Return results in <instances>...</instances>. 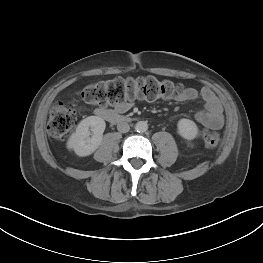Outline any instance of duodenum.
I'll list each match as a JSON object with an SVG mask.
<instances>
[{"instance_id":"410a0bca","label":"duodenum","mask_w":263,"mask_h":263,"mask_svg":"<svg viewBox=\"0 0 263 263\" xmlns=\"http://www.w3.org/2000/svg\"><path fill=\"white\" fill-rule=\"evenodd\" d=\"M99 115L113 123H123L129 120V118L110 110H102Z\"/></svg>"}]
</instances>
